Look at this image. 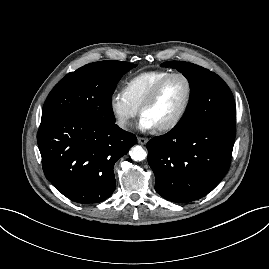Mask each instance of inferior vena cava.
I'll return each mask as SVG.
<instances>
[{"instance_id": "obj_1", "label": "inferior vena cava", "mask_w": 269, "mask_h": 269, "mask_svg": "<svg viewBox=\"0 0 269 269\" xmlns=\"http://www.w3.org/2000/svg\"><path fill=\"white\" fill-rule=\"evenodd\" d=\"M126 121L125 120H121V121H119V125H120V127H125L126 126Z\"/></svg>"}]
</instances>
